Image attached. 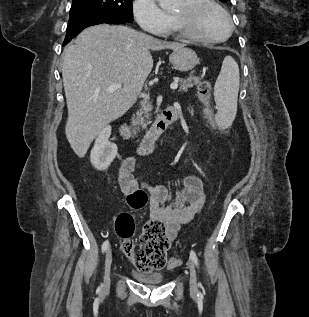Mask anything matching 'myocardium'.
<instances>
[{
  "label": "myocardium",
  "instance_id": "f54148a6",
  "mask_svg": "<svg viewBox=\"0 0 309 317\" xmlns=\"http://www.w3.org/2000/svg\"><path fill=\"white\" fill-rule=\"evenodd\" d=\"M206 9H214L221 13L228 26V32L224 37L214 38L202 35L191 26V21ZM173 20L177 31L184 37L201 43H221L230 38L234 30L229 13L214 0H192L184 2L182 11L173 15Z\"/></svg>",
  "mask_w": 309,
  "mask_h": 317
}]
</instances>
